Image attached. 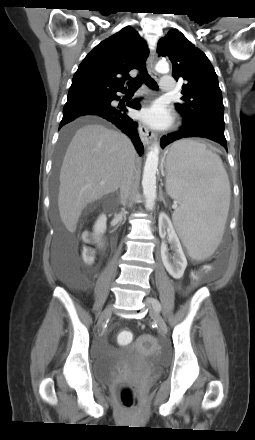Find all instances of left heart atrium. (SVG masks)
Masks as SVG:
<instances>
[{
  "label": "left heart atrium",
  "mask_w": 255,
  "mask_h": 440,
  "mask_svg": "<svg viewBox=\"0 0 255 440\" xmlns=\"http://www.w3.org/2000/svg\"><path fill=\"white\" fill-rule=\"evenodd\" d=\"M139 116L145 123L156 128H163L171 121L168 109L160 102L143 109Z\"/></svg>",
  "instance_id": "39dd6f15"
}]
</instances>
